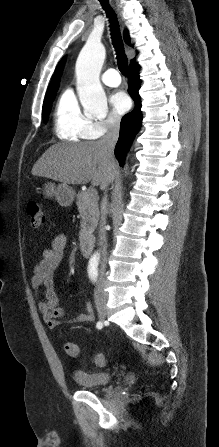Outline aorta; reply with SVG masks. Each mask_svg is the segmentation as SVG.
<instances>
[{
    "instance_id": "762f6f07",
    "label": "aorta",
    "mask_w": 219,
    "mask_h": 447,
    "mask_svg": "<svg viewBox=\"0 0 219 447\" xmlns=\"http://www.w3.org/2000/svg\"><path fill=\"white\" fill-rule=\"evenodd\" d=\"M104 59V46L88 41L76 61L79 100L84 111L93 116H102L108 110L107 98L99 82Z\"/></svg>"
}]
</instances>
